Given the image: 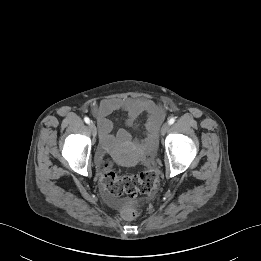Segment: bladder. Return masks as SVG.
Wrapping results in <instances>:
<instances>
[{"label":"bladder","instance_id":"1","mask_svg":"<svg viewBox=\"0 0 261 261\" xmlns=\"http://www.w3.org/2000/svg\"><path fill=\"white\" fill-rule=\"evenodd\" d=\"M130 138L128 136H122V135H117V136H112V139L108 142L105 143L107 148L114 152L116 154L115 159L120 162V163H127L128 158L124 156L123 152H121V147L123 144L126 142H129ZM134 144L137 148V150L141 154H146L148 153L153 145H154V139L151 137L145 138L143 140L139 141H134Z\"/></svg>","mask_w":261,"mask_h":261}]
</instances>
